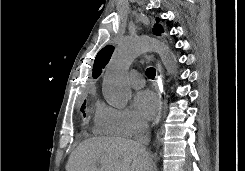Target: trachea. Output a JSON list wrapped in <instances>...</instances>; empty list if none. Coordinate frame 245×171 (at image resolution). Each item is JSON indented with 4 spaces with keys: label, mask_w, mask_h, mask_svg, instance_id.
<instances>
[{
    "label": "trachea",
    "mask_w": 245,
    "mask_h": 171,
    "mask_svg": "<svg viewBox=\"0 0 245 171\" xmlns=\"http://www.w3.org/2000/svg\"><path fill=\"white\" fill-rule=\"evenodd\" d=\"M146 75H147L148 78L153 79L155 77V75H156L155 68H152V67L148 68L146 70Z\"/></svg>",
    "instance_id": "trachea-1"
}]
</instances>
